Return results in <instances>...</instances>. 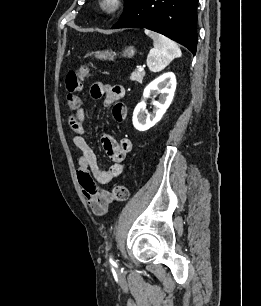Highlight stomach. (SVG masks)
Wrapping results in <instances>:
<instances>
[{
    "mask_svg": "<svg viewBox=\"0 0 261 306\" xmlns=\"http://www.w3.org/2000/svg\"><path fill=\"white\" fill-rule=\"evenodd\" d=\"M136 50L134 47L130 46L128 48H125L123 51L122 56L131 58L135 55ZM116 56V53L113 51H98L95 53V57L100 60H113Z\"/></svg>",
    "mask_w": 261,
    "mask_h": 306,
    "instance_id": "obj_1",
    "label": "stomach"
}]
</instances>
